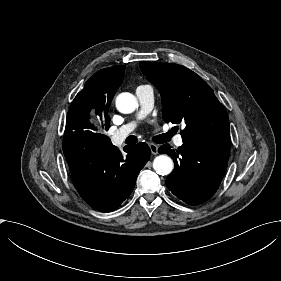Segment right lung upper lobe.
<instances>
[{"mask_svg": "<svg viewBox=\"0 0 281 281\" xmlns=\"http://www.w3.org/2000/svg\"><path fill=\"white\" fill-rule=\"evenodd\" d=\"M125 66L105 68L95 73L73 100L67 115L65 135L98 132L109 128L108 108L122 83Z\"/></svg>", "mask_w": 281, "mask_h": 281, "instance_id": "1", "label": "right lung upper lobe"}]
</instances>
